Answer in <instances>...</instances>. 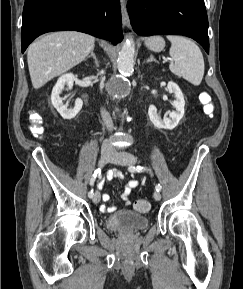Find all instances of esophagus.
I'll return each mask as SVG.
<instances>
[{"instance_id":"1","label":"esophagus","mask_w":243,"mask_h":289,"mask_svg":"<svg viewBox=\"0 0 243 289\" xmlns=\"http://www.w3.org/2000/svg\"><path fill=\"white\" fill-rule=\"evenodd\" d=\"M120 5H121V13H122V23L124 26L130 28L131 25H130L129 15L127 12L126 1L120 0Z\"/></svg>"}]
</instances>
